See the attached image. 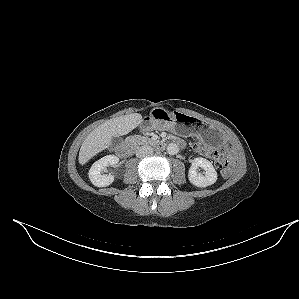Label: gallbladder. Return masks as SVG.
<instances>
[{"mask_svg": "<svg viewBox=\"0 0 299 299\" xmlns=\"http://www.w3.org/2000/svg\"><path fill=\"white\" fill-rule=\"evenodd\" d=\"M120 142H121V138L119 136L112 138V143H120Z\"/></svg>", "mask_w": 299, "mask_h": 299, "instance_id": "1", "label": "gallbladder"}]
</instances>
